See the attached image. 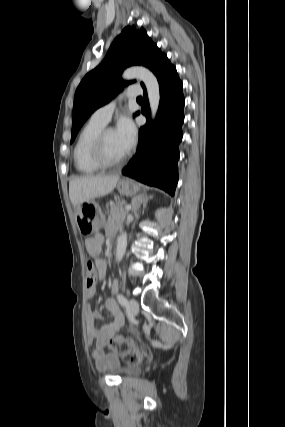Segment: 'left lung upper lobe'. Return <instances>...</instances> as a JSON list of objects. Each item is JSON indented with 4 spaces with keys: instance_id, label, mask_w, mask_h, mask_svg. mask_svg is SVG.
<instances>
[{
    "instance_id": "1",
    "label": "left lung upper lobe",
    "mask_w": 285,
    "mask_h": 427,
    "mask_svg": "<svg viewBox=\"0 0 285 427\" xmlns=\"http://www.w3.org/2000/svg\"><path fill=\"white\" fill-rule=\"evenodd\" d=\"M165 56L143 28H124L113 41L102 63L83 78L76 90L71 143L88 117L128 84L120 77L126 67L143 65L154 72ZM141 85L144 86L143 83Z\"/></svg>"
}]
</instances>
